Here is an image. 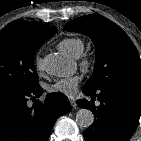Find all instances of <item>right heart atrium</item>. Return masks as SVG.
Returning <instances> with one entry per match:
<instances>
[{
	"label": "right heart atrium",
	"instance_id": "d8ad5b80",
	"mask_svg": "<svg viewBox=\"0 0 141 141\" xmlns=\"http://www.w3.org/2000/svg\"><path fill=\"white\" fill-rule=\"evenodd\" d=\"M34 65L37 71L43 70V62H42V58L40 55H36L34 59Z\"/></svg>",
	"mask_w": 141,
	"mask_h": 141
}]
</instances>
